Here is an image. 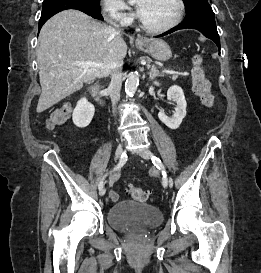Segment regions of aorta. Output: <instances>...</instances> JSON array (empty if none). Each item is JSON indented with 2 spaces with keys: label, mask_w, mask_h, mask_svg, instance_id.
I'll list each match as a JSON object with an SVG mask.
<instances>
[{
  "label": "aorta",
  "mask_w": 261,
  "mask_h": 273,
  "mask_svg": "<svg viewBox=\"0 0 261 273\" xmlns=\"http://www.w3.org/2000/svg\"><path fill=\"white\" fill-rule=\"evenodd\" d=\"M130 1H134V0H130ZM139 84V75L137 72L131 73L125 83V91L127 93V95L129 96H133L134 93L137 90V86Z\"/></svg>",
  "instance_id": "762f6f07"
}]
</instances>
